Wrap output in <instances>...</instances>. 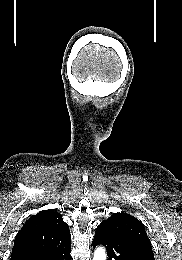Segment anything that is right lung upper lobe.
Returning a JSON list of instances; mask_svg holds the SVG:
<instances>
[{
    "mask_svg": "<svg viewBox=\"0 0 182 260\" xmlns=\"http://www.w3.org/2000/svg\"><path fill=\"white\" fill-rule=\"evenodd\" d=\"M70 237L68 225L57 211H40L26 220L18 232L11 260L63 246L71 242Z\"/></svg>",
    "mask_w": 182,
    "mask_h": 260,
    "instance_id": "obj_1",
    "label": "right lung upper lobe"
}]
</instances>
